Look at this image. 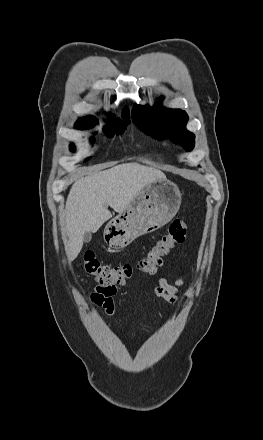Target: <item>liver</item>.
Instances as JSON below:
<instances>
[{
	"label": "liver",
	"instance_id": "liver-1",
	"mask_svg": "<svg viewBox=\"0 0 263 440\" xmlns=\"http://www.w3.org/2000/svg\"><path fill=\"white\" fill-rule=\"evenodd\" d=\"M165 178L158 169L124 163L78 179L70 189L64 214L68 261L80 253L84 234L97 232L112 217L108 206L121 213L143 187Z\"/></svg>",
	"mask_w": 263,
	"mask_h": 440
}]
</instances>
